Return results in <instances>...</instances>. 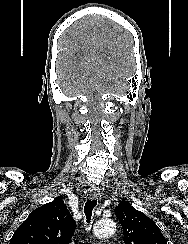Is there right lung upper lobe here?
Listing matches in <instances>:
<instances>
[{"label":"right lung upper lobe","instance_id":"cb5924a9","mask_svg":"<svg viewBox=\"0 0 188 244\" xmlns=\"http://www.w3.org/2000/svg\"><path fill=\"white\" fill-rule=\"evenodd\" d=\"M74 231L75 221L58 197L31 212L9 244H68Z\"/></svg>","mask_w":188,"mask_h":244}]
</instances>
